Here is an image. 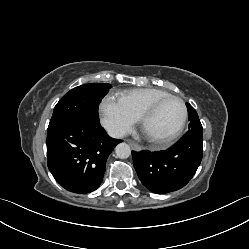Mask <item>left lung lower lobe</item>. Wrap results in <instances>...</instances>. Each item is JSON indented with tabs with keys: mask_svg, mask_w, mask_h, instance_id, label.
I'll list each match as a JSON object with an SVG mask.
<instances>
[{
	"mask_svg": "<svg viewBox=\"0 0 249 249\" xmlns=\"http://www.w3.org/2000/svg\"><path fill=\"white\" fill-rule=\"evenodd\" d=\"M202 132H187L173 147L158 152L132 151L133 165L142 184L156 194L184 187L202 160Z\"/></svg>",
	"mask_w": 249,
	"mask_h": 249,
	"instance_id": "0a47b994",
	"label": "left lung lower lobe"
}]
</instances>
